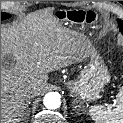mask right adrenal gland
Segmentation results:
<instances>
[{
	"label": "right adrenal gland",
	"mask_w": 123,
	"mask_h": 123,
	"mask_svg": "<svg viewBox=\"0 0 123 123\" xmlns=\"http://www.w3.org/2000/svg\"><path fill=\"white\" fill-rule=\"evenodd\" d=\"M29 104H30V102H28L27 104H26V110H28V106H29ZM27 112V115H29V113H28V111H26Z\"/></svg>",
	"instance_id": "right-adrenal-gland-1"
}]
</instances>
